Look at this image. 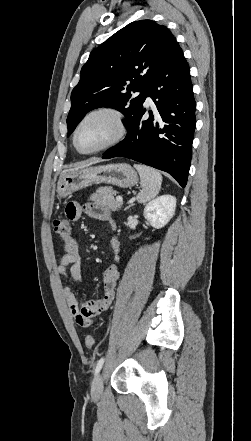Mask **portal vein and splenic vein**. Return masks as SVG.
Here are the masks:
<instances>
[{
  "label": "portal vein and splenic vein",
  "mask_w": 251,
  "mask_h": 441,
  "mask_svg": "<svg viewBox=\"0 0 251 441\" xmlns=\"http://www.w3.org/2000/svg\"><path fill=\"white\" fill-rule=\"evenodd\" d=\"M116 201L122 204L123 198L121 196H117Z\"/></svg>",
  "instance_id": "portal-vein-and-splenic-vein-1"
}]
</instances>
